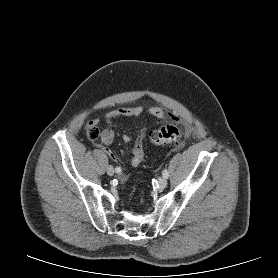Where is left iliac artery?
<instances>
[{
    "label": "left iliac artery",
    "mask_w": 278,
    "mask_h": 278,
    "mask_svg": "<svg viewBox=\"0 0 278 278\" xmlns=\"http://www.w3.org/2000/svg\"><path fill=\"white\" fill-rule=\"evenodd\" d=\"M162 175H163V177L168 178L169 172L167 171V169H164V170H163Z\"/></svg>",
    "instance_id": "44dca946"
}]
</instances>
